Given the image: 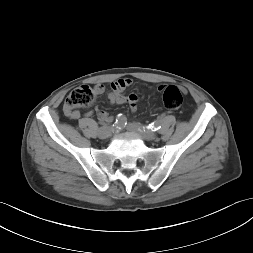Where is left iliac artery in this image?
Wrapping results in <instances>:
<instances>
[{
  "label": "left iliac artery",
  "mask_w": 253,
  "mask_h": 253,
  "mask_svg": "<svg viewBox=\"0 0 253 253\" xmlns=\"http://www.w3.org/2000/svg\"><path fill=\"white\" fill-rule=\"evenodd\" d=\"M148 128H150L152 131H157L161 128V124L160 121H155L153 123H151Z\"/></svg>",
  "instance_id": "44dca946"
}]
</instances>
